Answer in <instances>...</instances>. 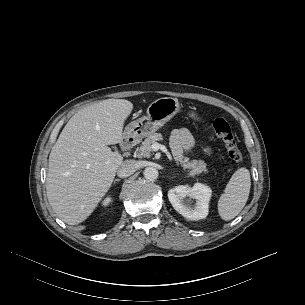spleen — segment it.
I'll return each instance as SVG.
<instances>
[{
  "instance_id": "3e777b00",
  "label": "spleen",
  "mask_w": 305,
  "mask_h": 305,
  "mask_svg": "<svg viewBox=\"0 0 305 305\" xmlns=\"http://www.w3.org/2000/svg\"><path fill=\"white\" fill-rule=\"evenodd\" d=\"M250 187L249 170L243 167L237 169L218 201V213L223 220H232L241 212L248 200Z\"/></svg>"
}]
</instances>
